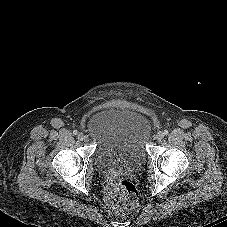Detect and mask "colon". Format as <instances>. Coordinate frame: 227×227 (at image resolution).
<instances>
[{"mask_svg":"<svg viewBox=\"0 0 227 227\" xmlns=\"http://www.w3.org/2000/svg\"><path fill=\"white\" fill-rule=\"evenodd\" d=\"M105 202L116 214L125 216L136 209L138 195L135 186L125 178H112L105 187Z\"/></svg>","mask_w":227,"mask_h":227,"instance_id":"colon-1","label":"colon"}]
</instances>
